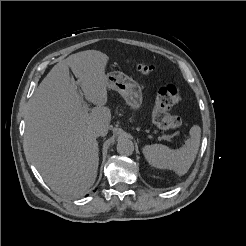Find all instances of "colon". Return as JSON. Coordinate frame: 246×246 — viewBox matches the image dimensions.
Here are the masks:
<instances>
[{
    "label": "colon",
    "instance_id": "1",
    "mask_svg": "<svg viewBox=\"0 0 246 246\" xmlns=\"http://www.w3.org/2000/svg\"><path fill=\"white\" fill-rule=\"evenodd\" d=\"M138 72L147 75L154 71L155 67L147 62L135 63ZM181 101L179 89L168 84L160 87L156 92L155 105L152 110V120L155 125L162 129H178L182 126V119L179 116L170 115L168 111Z\"/></svg>",
    "mask_w": 246,
    "mask_h": 246
}]
</instances>
